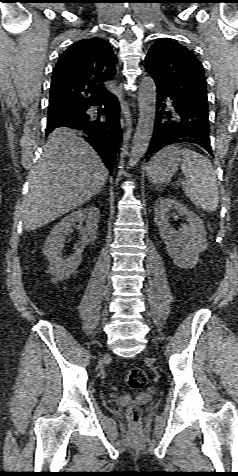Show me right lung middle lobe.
<instances>
[{"instance_id": "right-lung-middle-lobe-1", "label": "right lung middle lobe", "mask_w": 238, "mask_h": 476, "mask_svg": "<svg viewBox=\"0 0 238 476\" xmlns=\"http://www.w3.org/2000/svg\"><path fill=\"white\" fill-rule=\"evenodd\" d=\"M86 108H79L73 106H58L49 107L48 110V124H57L73 119L85 113Z\"/></svg>"}]
</instances>
